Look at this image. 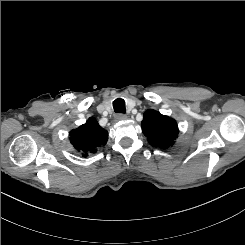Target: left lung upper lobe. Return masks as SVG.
<instances>
[{
    "mask_svg": "<svg viewBox=\"0 0 245 245\" xmlns=\"http://www.w3.org/2000/svg\"><path fill=\"white\" fill-rule=\"evenodd\" d=\"M141 127L153 147L168 148L174 144L178 127L174 119L149 109L144 113Z\"/></svg>",
    "mask_w": 245,
    "mask_h": 245,
    "instance_id": "5c2ea615",
    "label": "left lung upper lobe"
}]
</instances>
